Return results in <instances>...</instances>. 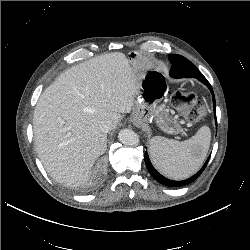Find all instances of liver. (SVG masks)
Wrapping results in <instances>:
<instances>
[{
  "instance_id": "1",
  "label": "liver",
  "mask_w": 250,
  "mask_h": 250,
  "mask_svg": "<svg viewBox=\"0 0 250 250\" xmlns=\"http://www.w3.org/2000/svg\"><path fill=\"white\" fill-rule=\"evenodd\" d=\"M144 73L119 52L97 56L63 72L41 94L33 115L36 150L48 174L66 186L87 181L107 148L99 125L114 129L130 113Z\"/></svg>"
}]
</instances>
